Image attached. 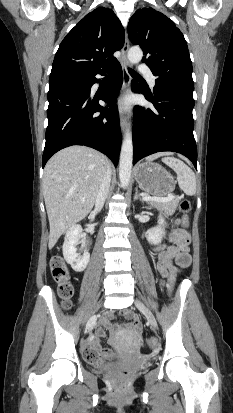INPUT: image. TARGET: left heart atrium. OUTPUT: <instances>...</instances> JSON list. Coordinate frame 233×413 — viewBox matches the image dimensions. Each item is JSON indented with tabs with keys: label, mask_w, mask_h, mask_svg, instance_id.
<instances>
[{
	"label": "left heart atrium",
	"mask_w": 233,
	"mask_h": 413,
	"mask_svg": "<svg viewBox=\"0 0 233 413\" xmlns=\"http://www.w3.org/2000/svg\"><path fill=\"white\" fill-rule=\"evenodd\" d=\"M130 104V98L129 97H125V98H121L119 100V107L120 108H127L128 105Z\"/></svg>",
	"instance_id": "obj_1"
}]
</instances>
